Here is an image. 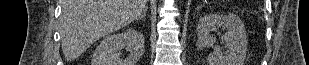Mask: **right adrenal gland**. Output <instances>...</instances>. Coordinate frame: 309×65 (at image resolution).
Listing matches in <instances>:
<instances>
[{
  "instance_id": "2a0ac1e0",
  "label": "right adrenal gland",
  "mask_w": 309,
  "mask_h": 65,
  "mask_svg": "<svg viewBox=\"0 0 309 65\" xmlns=\"http://www.w3.org/2000/svg\"><path fill=\"white\" fill-rule=\"evenodd\" d=\"M147 11H148V7H146L143 11V13L141 14V16L137 19V20H141L144 19L147 15Z\"/></svg>"
}]
</instances>
